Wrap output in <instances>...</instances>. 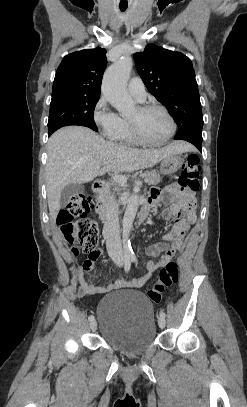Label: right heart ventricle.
Here are the masks:
<instances>
[{
  "instance_id": "e07e8e85",
  "label": "right heart ventricle",
  "mask_w": 247,
  "mask_h": 407,
  "mask_svg": "<svg viewBox=\"0 0 247 407\" xmlns=\"http://www.w3.org/2000/svg\"><path fill=\"white\" fill-rule=\"evenodd\" d=\"M115 140L119 141L123 144H126V145H136L137 144L136 140L132 136V133H131L130 127H129V123L127 120L123 119L122 128H121L120 132L118 133L117 137L115 138Z\"/></svg>"
}]
</instances>
